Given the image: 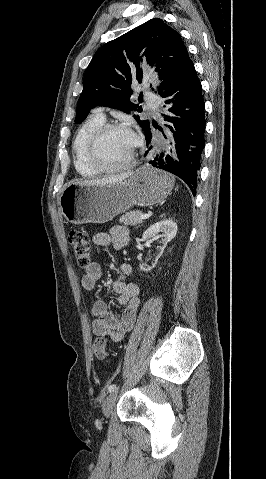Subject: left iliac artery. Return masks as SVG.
I'll return each instance as SVG.
<instances>
[{"label":"left iliac artery","instance_id":"left-iliac-artery-1","mask_svg":"<svg viewBox=\"0 0 266 479\" xmlns=\"http://www.w3.org/2000/svg\"><path fill=\"white\" fill-rule=\"evenodd\" d=\"M115 390H117V386H116L115 384H112V385H110V386L108 387V391H109V392H113V391H115Z\"/></svg>","mask_w":266,"mask_h":479}]
</instances>
